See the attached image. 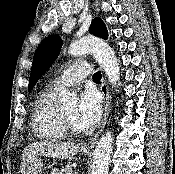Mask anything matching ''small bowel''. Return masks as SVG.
Here are the masks:
<instances>
[{"label":"small bowel","instance_id":"c3829d8e","mask_svg":"<svg viewBox=\"0 0 175 174\" xmlns=\"http://www.w3.org/2000/svg\"><path fill=\"white\" fill-rule=\"evenodd\" d=\"M52 174H60V173H58V172H55V173H52Z\"/></svg>","mask_w":175,"mask_h":174}]
</instances>
